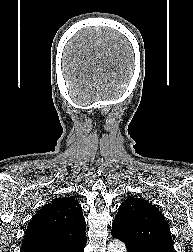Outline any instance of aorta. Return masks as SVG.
<instances>
[{
    "mask_svg": "<svg viewBox=\"0 0 193 252\" xmlns=\"http://www.w3.org/2000/svg\"><path fill=\"white\" fill-rule=\"evenodd\" d=\"M107 251L108 252H127L125 244L119 240L111 241L107 246Z\"/></svg>",
    "mask_w": 193,
    "mask_h": 252,
    "instance_id": "1",
    "label": "aorta"
}]
</instances>
